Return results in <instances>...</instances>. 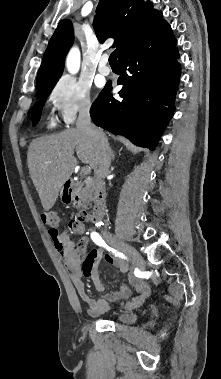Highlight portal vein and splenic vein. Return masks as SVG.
<instances>
[{"label":"portal vein and splenic vein","mask_w":221,"mask_h":379,"mask_svg":"<svg viewBox=\"0 0 221 379\" xmlns=\"http://www.w3.org/2000/svg\"><path fill=\"white\" fill-rule=\"evenodd\" d=\"M83 174H89L91 172V167L90 166H85L82 168Z\"/></svg>","instance_id":"obj_1"}]
</instances>
